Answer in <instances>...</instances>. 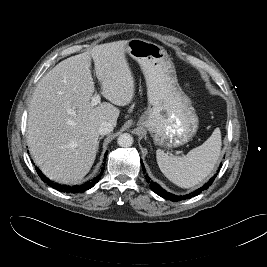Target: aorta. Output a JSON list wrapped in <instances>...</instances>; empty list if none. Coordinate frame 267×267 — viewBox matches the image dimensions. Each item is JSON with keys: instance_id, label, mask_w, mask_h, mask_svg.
<instances>
[{"instance_id": "obj_1", "label": "aorta", "mask_w": 267, "mask_h": 267, "mask_svg": "<svg viewBox=\"0 0 267 267\" xmlns=\"http://www.w3.org/2000/svg\"><path fill=\"white\" fill-rule=\"evenodd\" d=\"M117 143L121 147H130L133 144V137L128 133H123L118 137Z\"/></svg>"}]
</instances>
